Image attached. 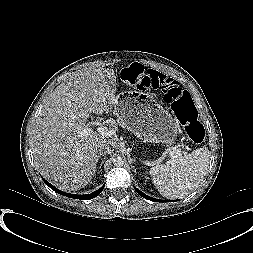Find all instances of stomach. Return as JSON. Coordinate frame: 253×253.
Listing matches in <instances>:
<instances>
[{"mask_svg":"<svg viewBox=\"0 0 253 253\" xmlns=\"http://www.w3.org/2000/svg\"><path fill=\"white\" fill-rule=\"evenodd\" d=\"M114 113L119 122L145 142L172 145L178 133L176 120L152 97L122 92L116 96Z\"/></svg>","mask_w":253,"mask_h":253,"instance_id":"stomach-1","label":"stomach"}]
</instances>
